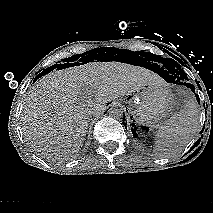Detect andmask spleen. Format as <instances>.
<instances>
[{"mask_svg": "<svg viewBox=\"0 0 213 213\" xmlns=\"http://www.w3.org/2000/svg\"><path fill=\"white\" fill-rule=\"evenodd\" d=\"M199 108L194 98L166 120L156 133L155 149L166 154L183 149L199 129Z\"/></svg>", "mask_w": 213, "mask_h": 213, "instance_id": "spleen-1", "label": "spleen"}]
</instances>
